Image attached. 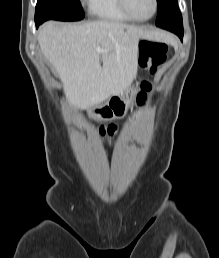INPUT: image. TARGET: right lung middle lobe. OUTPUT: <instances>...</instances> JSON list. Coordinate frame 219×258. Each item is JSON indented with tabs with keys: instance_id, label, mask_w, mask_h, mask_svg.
Returning <instances> with one entry per match:
<instances>
[{
	"instance_id": "right-lung-middle-lobe-1",
	"label": "right lung middle lobe",
	"mask_w": 219,
	"mask_h": 258,
	"mask_svg": "<svg viewBox=\"0 0 219 258\" xmlns=\"http://www.w3.org/2000/svg\"><path fill=\"white\" fill-rule=\"evenodd\" d=\"M84 18L79 0H38L35 23L47 20L78 21Z\"/></svg>"
}]
</instances>
